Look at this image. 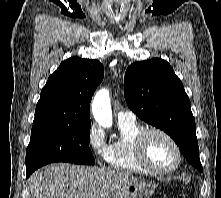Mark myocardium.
<instances>
[{"mask_svg":"<svg viewBox=\"0 0 221 198\" xmlns=\"http://www.w3.org/2000/svg\"><path fill=\"white\" fill-rule=\"evenodd\" d=\"M151 134H159L172 144L177 155V160L173 167L166 169L157 168L149 162L146 154V142ZM135 154L139 164L148 172L156 175H167L175 172L180 167L183 158L182 150L175 138L164 129L158 127L144 128L139 132L135 139Z\"/></svg>","mask_w":221,"mask_h":198,"instance_id":"f54148a6","label":"myocardium"}]
</instances>
